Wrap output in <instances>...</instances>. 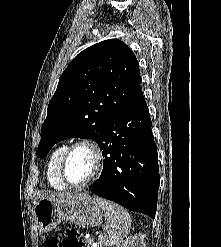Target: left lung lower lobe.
Masks as SVG:
<instances>
[{
	"label": "left lung lower lobe",
	"instance_id": "1",
	"mask_svg": "<svg viewBox=\"0 0 221 247\" xmlns=\"http://www.w3.org/2000/svg\"><path fill=\"white\" fill-rule=\"evenodd\" d=\"M146 103L121 113L104 130L103 171L91 192L154 218L159 188L157 148Z\"/></svg>",
	"mask_w": 221,
	"mask_h": 247
}]
</instances>
